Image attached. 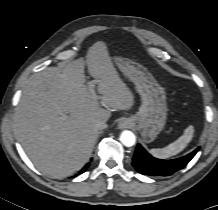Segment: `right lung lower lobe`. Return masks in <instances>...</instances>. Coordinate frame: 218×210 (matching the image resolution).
<instances>
[{
    "label": "right lung lower lobe",
    "instance_id": "right-lung-lower-lobe-1",
    "mask_svg": "<svg viewBox=\"0 0 218 210\" xmlns=\"http://www.w3.org/2000/svg\"><path fill=\"white\" fill-rule=\"evenodd\" d=\"M90 163H87L80 171L79 174L85 172L87 170V168L89 167Z\"/></svg>",
    "mask_w": 218,
    "mask_h": 210
}]
</instances>
